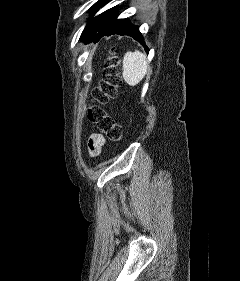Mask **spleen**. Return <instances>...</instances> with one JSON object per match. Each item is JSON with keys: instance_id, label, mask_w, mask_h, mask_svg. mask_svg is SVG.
<instances>
[{"instance_id": "1", "label": "spleen", "mask_w": 240, "mask_h": 281, "mask_svg": "<svg viewBox=\"0 0 240 281\" xmlns=\"http://www.w3.org/2000/svg\"><path fill=\"white\" fill-rule=\"evenodd\" d=\"M148 69L145 54L138 50L127 52L123 58V78L130 86H136L145 77Z\"/></svg>"}]
</instances>
